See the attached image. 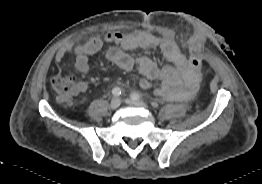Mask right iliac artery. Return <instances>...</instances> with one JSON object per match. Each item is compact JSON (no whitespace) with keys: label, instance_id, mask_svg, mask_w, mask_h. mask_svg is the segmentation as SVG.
<instances>
[{"label":"right iliac artery","instance_id":"1","mask_svg":"<svg viewBox=\"0 0 262 184\" xmlns=\"http://www.w3.org/2000/svg\"><path fill=\"white\" fill-rule=\"evenodd\" d=\"M121 93H122V91H121V89L119 87H115V88L112 89V94L114 96H120Z\"/></svg>","mask_w":262,"mask_h":184}]
</instances>
